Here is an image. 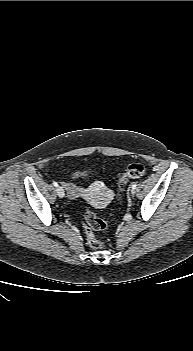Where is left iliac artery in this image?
Masks as SVG:
<instances>
[{
  "instance_id": "1",
  "label": "left iliac artery",
  "mask_w": 193,
  "mask_h": 351,
  "mask_svg": "<svg viewBox=\"0 0 193 351\" xmlns=\"http://www.w3.org/2000/svg\"><path fill=\"white\" fill-rule=\"evenodd\" d=\"M136 186H137V183H136V182H134V183L132 184V189H135V188H136Z\"/></svg>"
}]
</instances>
